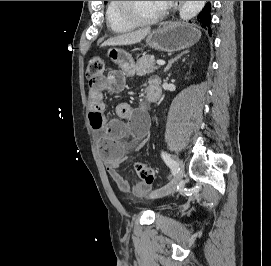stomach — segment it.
<instances>
[{
	"label": "stomach",
	"mask_w": 271,
	"mask_h": 266,
	"mask_svg": "<svg viewBox=\"0 0 271 266\" xmlns=\"http://www.w3.org/2000/svg\"><path fill=\"white\" fill-rule=\"evenodd\" d=\"M200 37V30L193 25L170 22L150 32L146 43L151 48L173 52L193 46L199 41ZM107 56L124 72L134 73L133 58L126 51L119 48H110Z\"/></svg>",
	"instance_id": "obj_1"
}]
</instances>
